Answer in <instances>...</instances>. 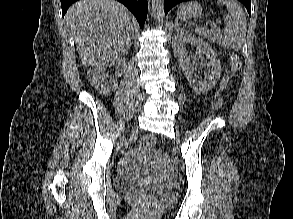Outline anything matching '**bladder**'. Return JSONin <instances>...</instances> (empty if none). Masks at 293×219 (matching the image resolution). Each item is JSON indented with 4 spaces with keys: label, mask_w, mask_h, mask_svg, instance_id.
I'll return each instance as SVG.
<instances>
[{
    "label": "bladder",
    "mask_w": 293,
    "mask_h": 219,
    "mask_svg": "<svg viewBox=\"0 0 293 219\" xmlns=\"http://www.w3.org/2000/svg\"><path fill=\"white\" fill-rule=\"evenodd\" d=\"M148 154L149 152L142 153V155ZM116 182L118 187L121 189L148 192L160 202H169L174 197V193L171 188L162 186L148 179L122 174L117 177Z\"/></svg>",
    "instance_id": "31cf9c89"
}]
</instances>
